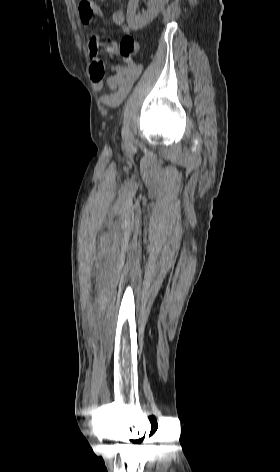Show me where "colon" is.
<instances>
[{"label":"colon","mask_w":280,"mask_h":472,"mask_svg":"<svg viewBox=\"0 0 280 472\" xmlns=\"http://www.w3.org/2000/svg\"><path fill=\"white\" fill-rule=\"evenodd\" d=\"M137 52L136 40L131 35H125L119 44V54L130 64Z\"/></svg>","instance_id":"colon-1"}]
</instances>
